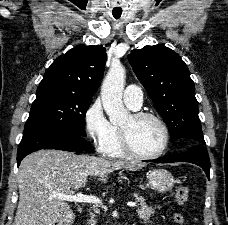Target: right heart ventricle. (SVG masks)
<instances>
[{"label": "right heart ventricle", "mask_w": 228, "mask_h": 225, "mask_svg": "<svg viewBox=\"0 0 228 225\" xmlns=\"http://www.w3.org/2000/svg\"><path fill=\"white\" fill-rule=\"evenodd\" d=\"M103 155L111 158H121L127 156L122 145L121 128L113 125V132L110 140L105 143L101 150Z\"/></svg>", "instance_id": "1"}]
</instances>
